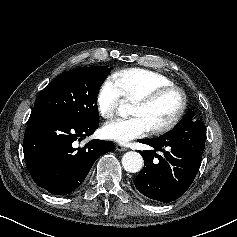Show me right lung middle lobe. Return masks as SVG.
Here are the masks:
<instances>
[{
	"instance_id": "right-lung-middle-lobe-1",
	"label": "right lung middle lobe",
	"mask_w": 237,
	"mask_h": 237,
	"mask_svg": "<svg viewBox=\"0 0 237 237\" xmlns=\"http://www.w3.org/2000/svg\"><path fill=\"white\" fill-rule=\"evenodd\" d=\"M110 71L106 66H92L62 73L42 90L33 110L80 123L97 122V95Z\"/></svg>"
}]
</instances>
